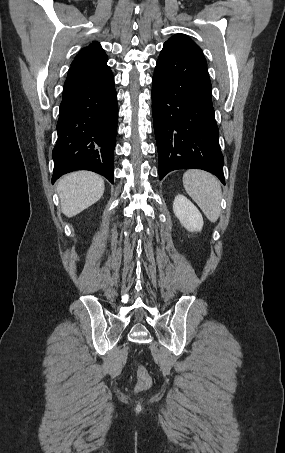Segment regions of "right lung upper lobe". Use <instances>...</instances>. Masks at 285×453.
Returning <instances> with one entry per match:
<instances>
[{
	"label": "right lung upper lobe",
	"mask_w": 285,
	"mask_h": 453,
	"mask_svg": "<svg viewBox=\"0 0 285 453\" xmlns=\"http://www.w3.org/2000/svg\"><path fill=\"white\" fill-rule=\"evenodd\" d=\"M108 57L101 45L98 42L93 41L88 47L80 50L79 54L76 55L71 66L81 67H99L106 66Z\"/></svg>",
	"instance_id": "obj_1"
}]
</instances>
